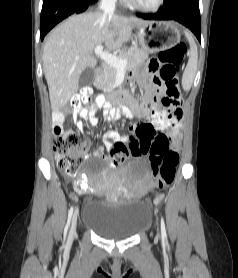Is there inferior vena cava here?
Returning a JSON list of instances; mask_svg holds the SVG:
<instances>
[{"label":"inferior vena cava","mask_w":238,"mask_h":278,"mask_svg":"<svg viewBox=\"0 0 238 278\" xmlns=\"http://www.w3.org/2000/svg\"><path fill=\"white\" fill-rule=\"evenodd\" d=\"M117 0H101L100 9L106 14H113Z\"/></svg>","instance_id":"obj_1"}]
</instances>
